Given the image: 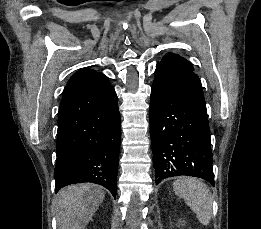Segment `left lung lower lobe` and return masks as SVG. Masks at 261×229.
<instances>
[{
    "instance_id": "obj_1",
    "label": "left lung lower lobe",
    "mask_w": 261,
    "mask_h": 229,
    "mask_svg": "<svg viewBox=\"0 0 261 229\" xmlns=\"http://www.w3.org/2000/svg\"><path fill=\"white\" fill-rule=\"evenodd\" d=\"M150 134L158 181L186 175L214 186L205 99L193 70L157 63L151 89Z\"/></svg>"
}]
</instances>
